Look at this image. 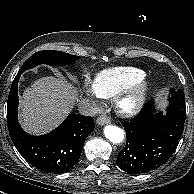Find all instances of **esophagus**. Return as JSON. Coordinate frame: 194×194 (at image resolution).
<instances>
[{
    "instance_id": "esophagus-1",
    "label": "esophagus",
    "mask_w": 194,
    "mask_h": 194,
    "mask_svg": "<svg viewBox=\"0 0 194 194\" xmlns=\"http://www.w3.org/2000/svg\"><path fill=\"white\" fill-rule=\"evenodd\" d=\"M111 122L110 118L107 117L106 115H101L100 117L97 118L96 123L100 126L109 124Z\"/></svg>"
}]
</instances>
